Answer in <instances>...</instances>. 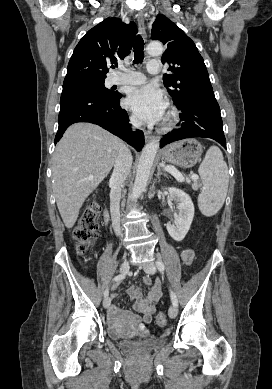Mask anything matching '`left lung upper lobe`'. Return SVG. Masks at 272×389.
I'll list each match as a JSON object with an SVG mask.
<instances>
[{
    "instance_id": "1",
    "label": "left lung upper lobe",
    "mask_w": 272,
    "mask_h": 389,
    "mask_svg": "<svg viewBox=\"0 0 272 389\" xmlns=\"http://www.w3.org/2000/svg\"><path fill=\"white\" fill-rule=\"evenodd\" d=\"M151 38L167 46L162 62L172 74H165L164 85L179 108L195 95L213 91L204 60L194 42L171 20L157 15Z\"/></svg>"
}]
</instances>
